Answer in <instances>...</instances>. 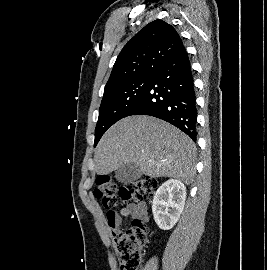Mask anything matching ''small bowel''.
Segmentation results:
<instances>
[{
	"label": "small bowel",
	"mask_w": 267,
	"mask_h": 270,
	"mask_svg": "<svg viewBox=\"0 0 267 270\" xmlns=\"http://www.w3.org/2000/svg\"><path fill=\"white\" fill-rule=\"evenodd\" d=\"M133 218L134 220L147 221L148 211L145 203L129 204L123 207L119 213H107V226L115 235L120 230L123 218Z\"/></svg>",
	"instance_id": "1"
}]
</instances>
